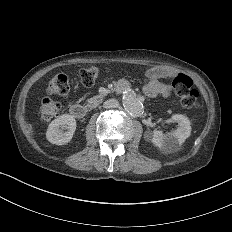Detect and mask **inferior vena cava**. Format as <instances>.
Returning <instances> with one entry per match:
<instances>
[{
  "label": "inferior vena cava",
  "mask_w": 232,
  "mask_h": 232,
  "mask_svg": "<svg viewBox=\"0 0 232 232\" xmlns=\"http://www.w3.org/2000/svg\"><path fill=\"white\" fill-rule=\"evenodd\" d=\"M118 105V101L114 98L108 99L103 103V106L105 108H113L116 107Z\"/></svg>",
  "instance_id": "obj_1"
}]
</instances>
